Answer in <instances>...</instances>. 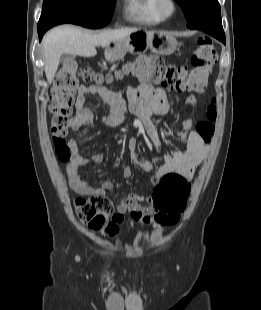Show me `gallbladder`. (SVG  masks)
<instances>
[{
	"instance_id": "1",
	"label": "gallbladder",
	"mask_w": 261,
	"mask_h": 310,
	"mask_svg": "<svg viewBox=\"0 0 261 310\" xmlns=\"http://www.w3.org/2000/svg\"><path fill=\"white\" fill-rule=\"evenodd\" d=\"M74 60H75V57L73 55H71V54H62L61 61L63 63H66V64L72 63V62H74Z\"/></svg>"
}]
</instances>
